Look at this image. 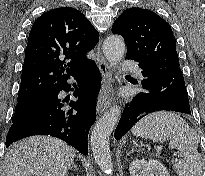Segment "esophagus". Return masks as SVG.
I'll list each match as a JSON object with an SVG mask.
<instances>
[{
  "label": "esophagus",
  "mask_w": 205,
  "mask_h": 176,
  "mask_svg": "<svg viewBox=\"0 0 205 176\" xmlns=\"http://www.w3.org/2000/svg\"><path fill=\"white\" fill-rule=\"evenodd\" d=\"M99 63L98 68L102 76V85L97 99L96 110L98 114H102L109 106V97L113 91L112 69L98 47Z\"/></svg>",
  "instance_id": "obj_1"
}]
</instances>
